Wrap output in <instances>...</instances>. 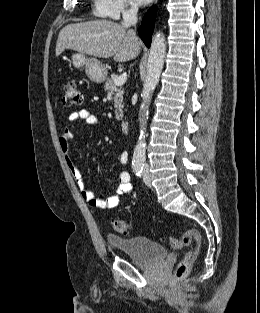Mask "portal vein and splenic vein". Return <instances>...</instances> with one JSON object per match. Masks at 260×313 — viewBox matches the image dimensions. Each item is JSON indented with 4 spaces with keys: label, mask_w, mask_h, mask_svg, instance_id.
I'll return each instance as SVG.
<instances>
[{
    "label": "portal vein and splenic vein",
    "mask_w": 260,
    "mask_h": 313,
    "mask_svg": "<svg viewBox=\"0 0 260 313\" xmlns=\"http://www.w3.org/2000/svg\"><path fill=\"white\" fill-rule=\"evenodd\" d=\"M126 80H127V74L123 73L114 80V85L121 86L126 82Z\"/></svg>",
    "instance_id": "portal-vein-and-splenic-vein-1"
}]
</instances>
